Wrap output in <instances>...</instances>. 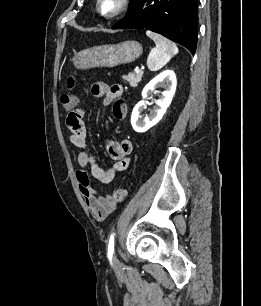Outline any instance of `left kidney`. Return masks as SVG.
<instances>
[{"mask_svg": "<svg viewBox=\"0 0 261 306\" xmlns=\"http://www.w3.org/2000/svg\"><path fill=\"white\" fill-rule=\"evenodd\" d=\"M176 75L171 70H166L153 78L143 89L142 96L146 98L152 93L156 86L164 88L162 95L156 101V106L151 111L150 115L143 118L142 112L145 106L144 101H140L134 107L131 115V125L138 133H143L156 125L165 114L167 108L172 102L176 91Z\"/></svg>", "mask_w": 261, "mask_h": 306, "instance_id": "left-kidney-1", "label": "left kidney"}]
</instances>
